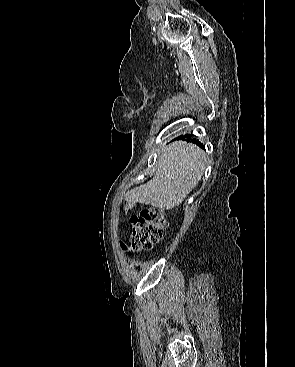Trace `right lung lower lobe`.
Listing matches in <instances>:
<instances>
[{"instance_id": "right-lung-lower-lobe-1", "label": "right lung lower lobe", "mask_w": 295, "mask_h": 367, "mask_svg": "<svg viewBox=\"0 0 295 367\" xmlns=\"http://www.w3.org/2000/svg\"><path fill=\"white\" fill-rule=\"evenodd\" d=\"M189 138H190L189 136H182L181 135V136L177 137L176 140H185V139H187V141H189ZM193 142L196 143L198 146L204 148L203 144L200 143L198 140L197 141L193 140Z\"/></svg>"}]
</instances>
